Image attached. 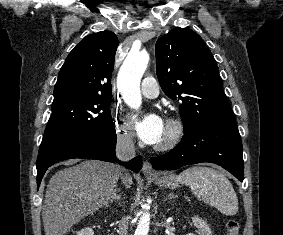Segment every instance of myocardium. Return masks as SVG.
Segmentation results:
<instances>
[{"instance_id": "obj_1", "label": "myocardium", "mask_w": 283, "mask_h": 235, "mask_svg": "<svg viewBox=\"0 0 283 235\" xmlns=\"http://www.w3.org/2000/svg\"><path fill=\"white\" fill-rule=\"evenodd\" d=\"M166 126L168 128L167 138L155 145L157 151H167L174 148L184 135V125L181 120L177 118H170L167 120Z\"/></svg>"}]
</instances>
